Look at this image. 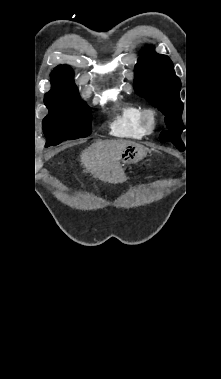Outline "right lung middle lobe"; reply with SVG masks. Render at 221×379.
Wrapping results in <instances>:
<instances>
[{
	"instance_id": "1",
	"label": "right lung middle lobe",
	"mask_w": 221,
	"mask_h": 379,
	"mask_svg": "<svg viewBox=\"0 0 221 379\" xmlns=\"http://www.w3.org/2000/svg\"><path fill=\"white\" fill-rule=\"evenodd\" d=\"M49 114L43 120L46 147L64 140L84 138L91 133L90 108L78 99L75 101H44Z\"/></svg>"
}]
</instances>
